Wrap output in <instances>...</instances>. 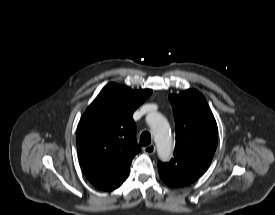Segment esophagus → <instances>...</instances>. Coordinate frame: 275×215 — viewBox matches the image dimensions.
<instances>
[{
	"mask_svg": "<svg viewBox=\"0 0 275 215\" xmlns=\"http://www.w3.org/2000/svg\"><path fill=\"white\" fill-rule=\"evenodd\" d=\"M143 151H144V153H146L148 155H152L155 153L156 148L153 144H151V145L143 147Z\"/></svg>",
	"mask_w": 275,
	"mask_h": 215,
	"instance_id": "1",
	"label": "esophagus"
}]
</instances>
